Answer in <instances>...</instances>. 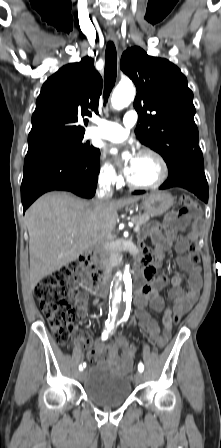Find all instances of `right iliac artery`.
Masks as SVG:
<instances>
[{"label": "right iliac artery", "instance_id": "right-iliac-artery-1", "mask_svg": "<svg viewBox=\"0 0 221 448\" xmlns=\"http://www.w3.org/2000/svg\"><path fill=\"white\" fill-rule=\"evenodd\" d=\"M114 321H115V318H113L112 320H110V317H109L108 320L106 321L105 326H106L107 330L102 334V337H104V339H106V337H107V335H108V332H110V331L112 330V328H113V326H114ZM104 334H105V336H104ZM85 366H86L85 363L81 364V365L79 366V370L82 371V370L85 368Z\"/></svg>", "mask_w": 221, "mask_h": 448}]
</instances>
